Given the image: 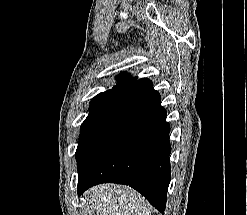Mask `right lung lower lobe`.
Returning a JSON list of instances; mask_svg holds the SVG:
<instances>
[{"mask_svg":"<svg viewBox=\"0 0 247 215\" xmlns=\"http://www.w3.org/2000/svg\"><path fill=\"white\" fill-rule=\"evenodd\" d=\"M170 126L149 79L127 88L76 153L78 194L99 183L129 185L160 212L170 183Z\"/></svg>","mask_w":247,"mask_h":215,"instance_id":"1","label":"right lung lower lobe"}]
</instances>
